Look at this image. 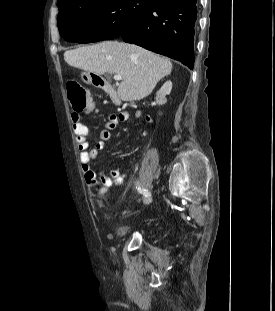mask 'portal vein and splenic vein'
I'll return each mask as SVG.
<instances>
[{"label": "portal vein and splenic vein", "mask_w": 275, "mask_h": 311, "mask_svg": "<svg viewBox=\"0 0 275 311\" xmlns=\"http://www.w3.org/2000/svg\"><path fill=\"white\" fill-rule=\"evenodd\" d=\"M113 78H114V80H116V81L122 80V76H121V75H118V74L114 75Z\"/></svg>", "instance_id": "1"}]
</instances>
